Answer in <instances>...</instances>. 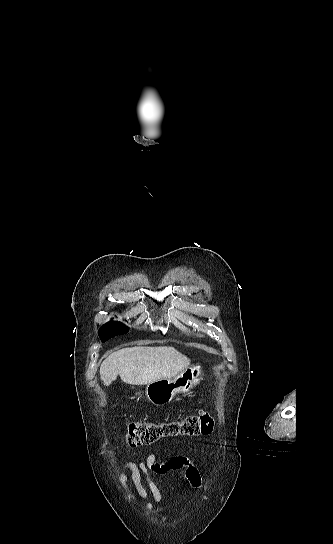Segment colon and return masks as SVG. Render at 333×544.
I'll use <instances>...</instances> for the list:
<instances>
[{
    "mask_svg": "<svg viewBox=\"0 0 333 544\" xmlns=\"http://www.w3.org/2000/svg\"><path fill=\"white\" fill-rule=\"evenodd\" d=\"M213 427L214 420L208 414L161 422L134 421L127 427L125 441L130 448H135L150 445L165 437L209 434Z\"/></svg>",
    "mask_w": 333,
    "mask_h": 544,
    "instance_id": "1",
    "label": "colon"
}]
</instances>
